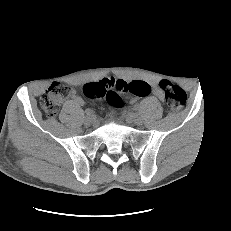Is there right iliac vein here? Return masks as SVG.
<instances>
[{
  "instance_id": "right-iliac-vein-1",
  "label": "right iliac vein",
  "mask_w": 231,
  "mask_h": 231,
  "mask_svg": "<svg viewBox=\"0 0 231 231\" xmlns=\"http://www.w3.org/2000/svg\"><path fill=\"white\" fill-rule=\"evenodd\" d=\"M95 122V118L92 115H87L85 117L84 123L85 125L89 126Z\"/></svg>"
}]
</instances>
